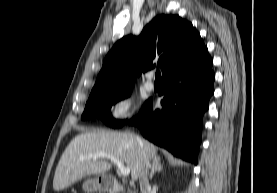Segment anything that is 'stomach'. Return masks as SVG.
I'll list each match as a JSON object with an SVG mask.
<instances>
[{"label": "stomach", "instance_id": "obj_1", "mask_svg": "<svg viewBox=\"0 0 277 193\" xmlns=\"http://www.w3.org/2000/svg\"><path fill=\"white\" fill-rule=\"evenodd\" d=\"M83 189L86 193H93L95 191H110L112 189L111 178L107 176L89 178L83 183Z\"/></svg>", "mask_w": 277, "mask_h": 193}]
</instances>
